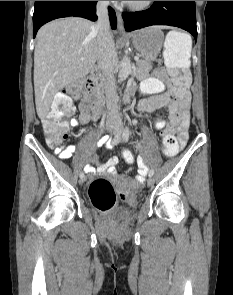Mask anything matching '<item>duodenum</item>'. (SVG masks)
<instances>
[{"instance_id": "obj_1", "label": "duodenum", "mask_w": 233, "mask_h": 295, "mask_svg": "<svg viewBox=\"0 0 233 295\" xmlns=\"http://www.w3.org/2000/svg\"><path fill=\"white\" fill-rule=\"evenodd\" d=\"M99 75V69L94 67L86 81V94L84 102L89 106L93 115H99L102 107V96L97 87V79Z\"/></svg>"}]
</instances>
